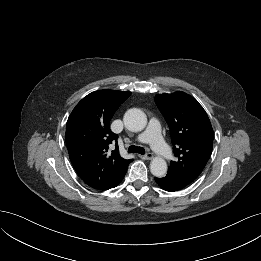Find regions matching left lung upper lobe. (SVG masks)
I'll list each match as a JSON object with an SVG mask.
<instances>
[{
  "label": "left lung upper lobe",
  "instance_id": "left-lung-upper-lobe-1",
  "mask_svg": "<svg viewBox=\"0 0 261 261\" xmlns=\"http://www.w3.org/2000/svg\"><path fill=\"white\" fill-rule=\"evenodd\" d=\"M155 103L169 125L176 157L167 174L189 185L201 174L212 152L210 120L198 101L183 92L157 94Z\"/></svg>",
  "mask_w": 261,
  "mask_h": 261
}]
</instances>
